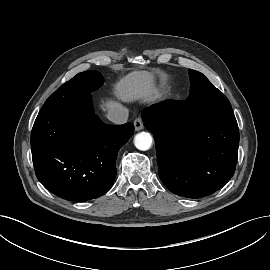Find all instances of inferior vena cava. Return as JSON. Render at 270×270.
Here are the masks:
<instances>
[{
	"label": "inferior vena cava",
	"instance_id": "1",
	"mask_svg": "<svg viewBox=\"0 0 270 270\" xmlns=\"http://www.w3.org/2000/svg\"><path fill=\"white\" fill-rule=\"evenodd\" d=\"M128 115L129 112L126 107L117 106L108 111L107 118L115 124H124L128 120Z\"/></svg>",
	"mask_w": 270,
	"mask_h": 270
}]
</instances>
